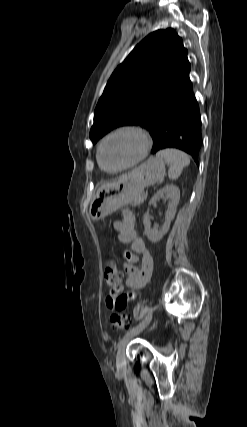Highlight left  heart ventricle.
<instances>
[{"mask_svg":"<svg viewBox=\"0 0 247 427\" xmlns=\"http://www.w3.org/2000/svg\"><path fill=\"white\" fill-rule=\"evenodd\" d=\"M142 150L141 138L133 132H122L109 139L101 153L103 165L109 170L121 168L135 160Z\"/></svg>","mask_w":247,"mask_h":427,"instance_id":"b2bd125f","label":"left heart ventricle"}]
</instances>
